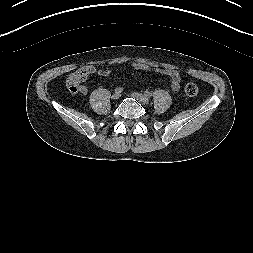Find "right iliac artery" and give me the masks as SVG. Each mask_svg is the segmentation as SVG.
<instances>
[{"instance_id": "1", "label": "right iliac artery", "mask_w": 253, "mask_h": 253, "mask_svg": "<svg viewBox=\"0 0 253 253\" xmlns=\"http://www.w3.org/2000/svg\"><path fill=\"white\" fill-rule=\"evenodd\" d=\"M122 91H123V88L121 87H118L115 89V93H118V94H120Z\"/></svg>"}]
</instances>
